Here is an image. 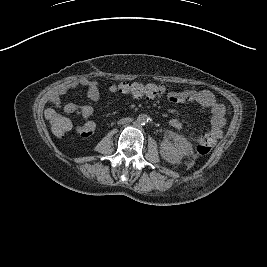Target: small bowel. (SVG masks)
Segmentation results:
<instances>
[{
  "label": "small bowel",
  "instance_id": "c3829d8e",
  "mask_svg": "<svg viewBox=\"0 0 267 267\" xmlns=\"http://www.w3.org/2000/svg\"><path fill=\"white\" fill-rule=\"evenodd\" d=\"M79 87L86 89V96L89 100H99L100 89L98 83L96 81L83 78L79 81L70 83L60 94L54 97L53 102L58 104L62 94L73 91ZM169 101L174 104L195 103L208 108L211 111V117L209 120L210 131L205 133L210 137L212 143L221 138L222 128L225 125L226 108L212 92L208 90L195 89L173 91L169 96ZM64 111L68 114L77 113L82 118L84 123L78 127V130L82 135L89 136L95 132L96 124L91 120L93 108L90 105L68 103L64 106ZM54 113L55 112L53 110H49L47 112L48 115ZM169 124L175 129H181L183 127V122L178 118L170 119ZM88 132H90V134Z\"/></svg>",
  "mask_w": 267,
  "mask_h": 267
}]
</instances>
